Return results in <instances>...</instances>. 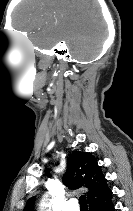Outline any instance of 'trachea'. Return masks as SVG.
<instances>
[{"label":"trachea","mask_w":133,"mask_h":211,"mask_svg":"<svg viewBox=\"0 0 133 211\" xmlns=\"http://www.w3.org/2000/svg\"><path fill=\"white\" fill-rule=\"evenodd\" d=\"M79 203H80V207H81L82 209H88L85 195H81V196L79 197Z\"/></svg>","instance_id":"3493384b"}]
</instances>
